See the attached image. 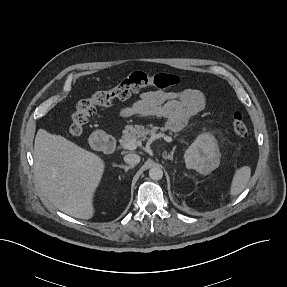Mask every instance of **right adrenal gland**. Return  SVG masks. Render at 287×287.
Here are the masks:
<instances>
[{
    "instance_id": "right-adrenal-gland-1",
    "label": "right adrenal gland",
    "mask_w": 287,
    "mask_h": 287,
    "mask_svg": "<svg viewBox=\"0 0 287 287\" xmlns=\"http://www.w3.org/2000/svg\"><path fill=\"white\" fill-rule=\"evenodd\" d=\"M114 166L124 169L125 172H127L129 169L133 168V166H126V165H114Z\"/></svg>"
}]
</instances>
